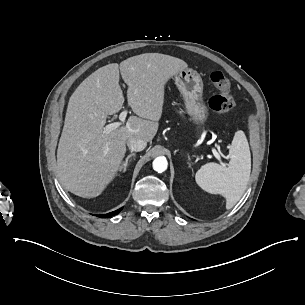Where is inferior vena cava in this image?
<instances>
[{"label":"inferior vena cava","instance_id":"602c4592","mask_svg":"<svg viewBox=\"0 0 305 305\" xmlns=\"http://www.w3.org/2000/svg\"><path fill=\"white\" fill-rule=\"evenodd\" d=\"M147 143L141 139L129 138L127 140V146L130 150L139 152L146 148Z\"/></svg>","mask_w":305,"mask_h":305}]
</instances>
